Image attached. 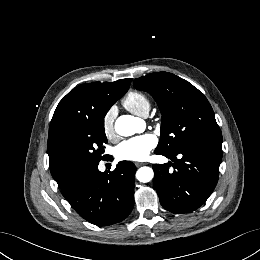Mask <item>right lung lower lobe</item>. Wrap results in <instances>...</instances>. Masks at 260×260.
Masks as SVG:
<instances>
[{
    "label": "right lung lower lobe",
    "mask_w": 260,
    "mask_h": 260,
    "mask_svg": "<svg viewBox=\"0 0 260 260\" xmlns=\"http://www.w3.org/2000/svg\"><path fill=\"white\" fill-rule=\"evenodd\" d=\"M135 165L121 161L113 172L98 170V164L74 172L61 193L88 222L108 226L124 220L134 206Z\"/></svg>",
    "instance_id": "98d812e1"
}]
</instances>
